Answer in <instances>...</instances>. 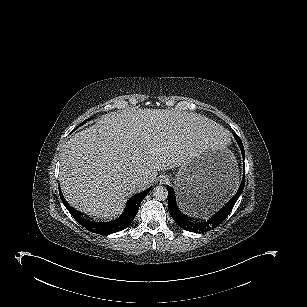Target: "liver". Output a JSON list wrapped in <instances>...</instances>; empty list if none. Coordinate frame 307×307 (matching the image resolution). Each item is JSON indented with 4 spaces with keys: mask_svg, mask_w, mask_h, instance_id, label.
I'll list each match as a JSON object with an SVG mask.
<instances>
[{
    "mask_svg": "<svg viewBox=\"0 0 307 307\" xmlns=\"http://www.w3.org/2000/svg\"><path fill=\"white\" fill-rule=\"evenodd\" d=\"M224 130L207 117L164 109L111 112L64 146L59 180L66 201L94 219L122 213L128 198L146 189L158 171L219 141ZM145 181L132 188V179Z\"/></svg>",
    "mask_w": 307,
    "mask_h": 307,
    "instance_id": "liver-1",
    "label": "liver"
}]
</instances>
